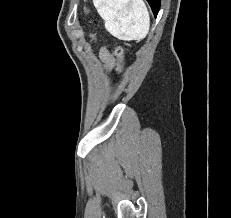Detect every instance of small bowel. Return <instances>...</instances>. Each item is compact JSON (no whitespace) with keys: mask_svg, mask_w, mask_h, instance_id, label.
Wrapping results in <instances>:
<instances>
[{"mask_svg":"<svg viewBox=\"0 0 231 218\" xmlns=\"http://www.w3.org/2000/svg\"><path fill=\"white\" fill-rule=\"evenodd\" d=\"M100 57L102 61L105 63L106 67L110 69L113 65V58L108 52V50H106L105 48H102L100 51Z\"/></svg>","mask_w":231,"mask_h":218,"instance_id":"small-bowel-1","label":"small bowel"}]
</instances>
